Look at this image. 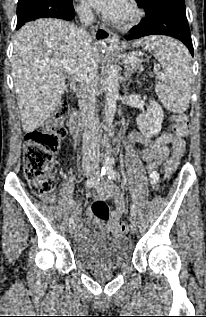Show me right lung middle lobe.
Returning <instances> with one entry per match:
<instances>
[{"label": "right lung middle lobe", "mask_w": 206, "mask_h": 317, "mask_svg": "<svg viewBox=\"0 0 206 317\" xmlns=\"http://www.w3.org/2000/svg\"><path fill=\"white\" fill-rule=\"evenodd\" d=\"M72 0H19L17 5V26L38 18H57V10L67 8Z\"/></svg>", "instance_id": "right-lung-middle-lobe-1"}]
</instances>
